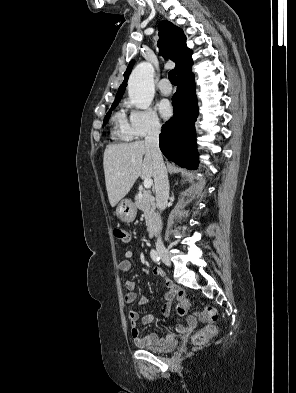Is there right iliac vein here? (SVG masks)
Instances as JSON below:
<instances>
[{"instance_id": "right-iliac-vein-1", "label": "right iliac vein", "mask_w": 296, "mask_h": 393, "mask_svg": "<svg viewBox=\"0 0 296 393\" xmlns=\"http://www.w3.org/2000/svg\"><path fill=\"white\" fill-rule=\"evenodd\" d=\"M157 251H158V254H159L160 258L162 259V261L167 266H170L171 265V261H170V256H169V253H168L167 249L164 248V247H159L157 249Z\"/></svg>"}]
</instances>
